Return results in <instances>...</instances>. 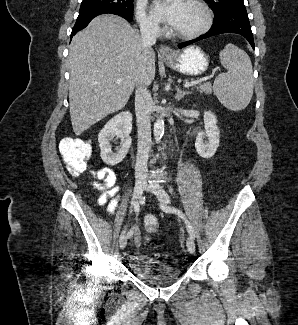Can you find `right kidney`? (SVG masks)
Segmentation results:
<instances>
[{"label":"right kidney","mask_w":298,"mask_h":325,"mask_svg":"<svg viewBox=\"0 0 298 325\" xmlns=\"http://www.w3.org/2000/svg\"><path fill=\"white\" fill-rule=\"evenodd\" d=\"M132 130V114L129 110L118 112L113 118H110L104 128L98 134V142L100 146V156L106 165H118L125 158L131 144L132 138L130 132ZM114 136L121 138L120 148L114 152L112 150L111 140Z\"/></svg>","instance_id":"right-kidney-1"}]
</instances>
